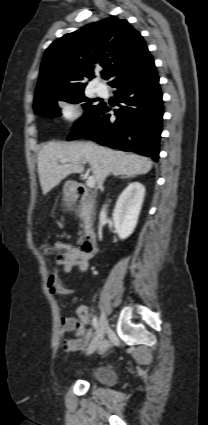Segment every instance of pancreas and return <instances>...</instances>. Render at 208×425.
<instances>
[{"instance_id":"pancreas-1","label":"pancreas","mask_w":208,"mask_h":425,"mask_svg":"<svg viewBox=\"0 0 208 425\" xmlns=\"http://www.w3.org/2000/svg\"><path fill=\"white\" fill-rule=\"evenodd\" d=\"M93 205H94V203H93V202H91V206H92V207H91V211L93 210Z\"/></svg>"}]
</instances>
